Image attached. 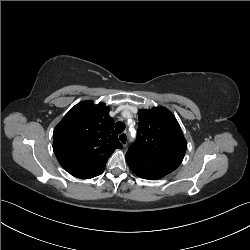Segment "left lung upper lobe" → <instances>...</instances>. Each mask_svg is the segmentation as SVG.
I'll list each match as a JSON object with an SVG mask.
<instances>
[{
    "label": "left lung upper lobe",
    "mask_w": 250,
    "mask_h": 250,
    "mask_svg": "<svg viewBox=\"0 0 250 250\" xmlns=\"http://www.w3.org/2000/svg\"><path fill=\"white\" fill-rule=\"evenodd\" d=\"M137 139L129 147L126 160L129 167L147 158L166 173L182 162L187 143L175 116L165 107L139 110Z\"/></svg>",
    "instance_id": "1"
}]
</instances>
